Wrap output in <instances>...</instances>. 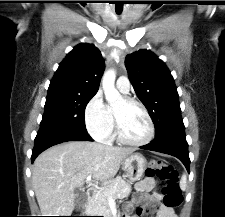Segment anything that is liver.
Returning a JSON list of instances; mask_svg holds the SVG:
<instances>
[{
	"mask_svg": "<svg viewBox=\"0 0 225 217\" xmlns=\"http://www.w3.org/2000/svg\"><path fill=\"white\" fill-rule=\"evenodd\" d=\"M133 152L87 141L66 142L42 152L34 161L32 184L43 216H71L76 188L89 175L108 184Z\"/></svg>",
	"mask_w": 225,
	"mask_h": 217,
	"instance_id": "liver-1",
	"label": "liver"
}]
</instances>
